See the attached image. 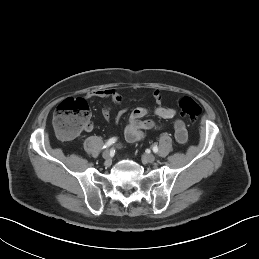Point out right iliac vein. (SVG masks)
Returning a JSON list of instances; mask_svg holds the SVG:
<instances>
[{
    "instance_id": "63e3f726",
    "label": "right iliac vein",
    "mask_w": 259,
    "mask_h": 259,
    "mask_svg": "<svg viewBox=\"0 0 259 259\" xmlns=\"http://www.w3.org/2000/svg\"><path fill=\"white\" fill-rule=\"evenodd\" d=\"M102 157L105 159V165L110 166L112 163L110 152L108 150H105L102 154Z\"/></svg>"
}]
</instances>
